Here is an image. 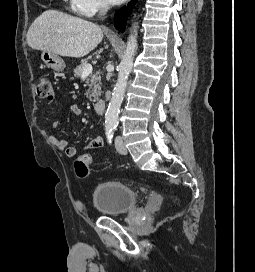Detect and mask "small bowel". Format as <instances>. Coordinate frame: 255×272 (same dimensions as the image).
<instances>
[{
    "mask_svg": "<svg viewBox=\"0 0 255 272\" xmlns=\"http://www.w3.org/2000/svg\"><path fill=\"white\" fill-rule=\"evenodd\" d=\"M71 112L75 116H80L82 114V110L77 105L71 106ZM60 124L59 120H55L52 122V128L57 129ZM49 141L52 145L62 150L67 157H75L77 155V148L75 146L70 145L65 139L59 138L57 136L51 135L49 137ZM104 139L101 136H98L88 142L84 148L86 150H95L103 147Z\"/></svg>",
    "mask_w": 255,
    "mask_h": 272,
    "instance_id": "1",
    "label": "small bowel"
}]
</instances>
